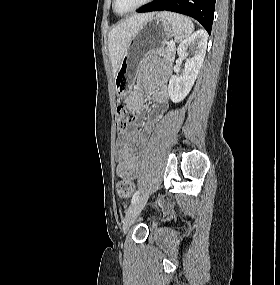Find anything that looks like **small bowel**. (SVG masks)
Segmentation results:
<instances>
[{
    "label": "small bowel",
    "instance_id": "c3829d8e",
    "mask_svg": "<svg viewBox=\"0 0 280 285\" xmlns=\"http://www.w3.org/2000/svg\"><path fill=\"white\" fill-rule=\"evenodd\" d=\"M144 77L140 88L130 94L126 99V105L135 111H141L145 106V97L150 94L153 101L157 104L166 106L168 101V83L170 79V70L165 67L160 72H155L153 68L143 69ZM155 121H149L145 125L144 133L140 139L149 134L154 128ZM139 140L134 132H126L119 135L117 142L119 149L117 151L118 175H126L132 179L136 178L139 172V161L134 154L133 142Z\"/></svg>",
    "mask_w": 280,
    "mask_h": 285
}]
</instances>
